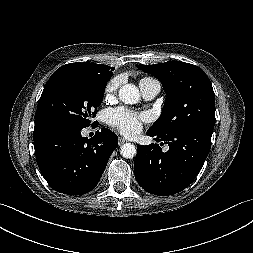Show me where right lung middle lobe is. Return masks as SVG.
Returning a JSON list of instances; mask_svg holds the SVG:
<instances>
[{
	"label": "right lung middle lobe",
	"mask_w": 253,
	"mask_h": 253,
	"mask_svg": "<svg viewBox=\"0 0 253 253\" xmlns=\"http://www.w3.org/2000/svg\"><path fill=\"white\" fill-rule=\"evenodd\" d=\"M111 76L76 67H60L47 81L35 114V129L66 125L83 129L96 116Z\"/></svg>",
	"instance_id": "1"
}]
</instances>
